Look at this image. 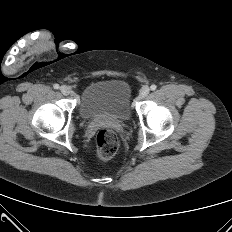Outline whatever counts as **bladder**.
I'll return each mask as SVG.
<instances>
[{"label":"bladder","instance_id":"bladder-1","mask_svg":"<svg viewBox=\"0 0 232 232\" xmlns=\"http://www.w3.org/2000/svg\"><path fill=\"white\" fill-rule=\"evenodd\" d=\"M78 111L84 119L130 118L133 107L128 82L121 78H110L91 83L80 96Z\"/></svg>","mask_w":232,"mask_h":232}]
</instances>
